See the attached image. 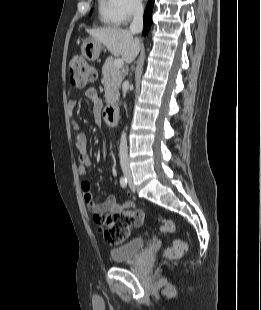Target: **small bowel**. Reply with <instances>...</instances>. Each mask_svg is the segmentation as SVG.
<instances>
[{
    "label": "small bowel",
    "mask_w": 261,
    "mask_h": 310,
    "mask_svg": "<svg viewBox=\"0 0 261 310\" xmlns=\"http://www.w3.org/2000/svg\"><path fill=\"white\" fill-rule=\"evenodd\" d=\"M86 96L92 101L94 106V113L99 115L102 108V101L97 94V91L90 87L86 90ZM76 107L75 101H70L68 104V108L70 111H73ZM73 129L76 132V141H77V150H78V158H79V166L78 171L80 176L88 177L90 174L91 161L88 154L87 148V139L86 136L79 131L77 125H73ZM81 190L83 193V198L88 205L89 210L94 214V218L97 221L99 216H102L106 213H118L123 210H135V204L132 200L125 202L123 205L117 203L116 198L112 195L107 196L102 201H96L93 198L91 193V185L88 180H84L81 183ZM143 214V213H142ZM98 222V221H97ZM142 223V221H141Z\"/></svg>",
    "instance_id": "obj_1"
}]
</instances>
